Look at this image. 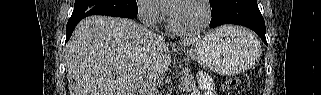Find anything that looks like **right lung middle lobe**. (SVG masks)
<instances>
[{
	"label": "right lung middle lobe",
	"instance_id": "obj_1",
	"mask_svg": "<svg viewBox=\"0 0 321 95\" xmlns=\"http://www.w3.org/2000/svg\"><path fill=\"white\" fill-rule=\"evenodd\" d=\"M123 15L137 16L136 0H76L72 16Z\"/></svg>",
	"mask_w": 321,
	"mask_h": 95
}]
</instances>
